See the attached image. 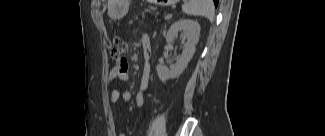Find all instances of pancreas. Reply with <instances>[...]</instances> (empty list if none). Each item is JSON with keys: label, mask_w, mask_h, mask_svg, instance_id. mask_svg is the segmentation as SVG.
I'll use <instances>...</instances> for the list:
<instances>
[{"label": "pancreas", "mask_w": 325, "mask_h": 136, "mask_svg": "<svg viewBox=\"0 0 325 136\" xmlns=\"http://www.w3.org/2000/svg\"><path fill=\"white\" fill-rule=\"evenodd\" d=\"M160 15V10L157 9L156 5H149L148 9H146V12H139L138 18L139 19H149V22L151 24H159L160 18L157 17Z\"/></svg>", "instance_id": "obj_1"}]
</instances>
